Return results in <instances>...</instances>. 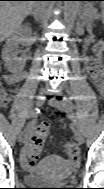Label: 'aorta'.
<instances>
[{
    "label": "aorta",
    "instance_id": "aorta-1",
    "mask_svg": "<svg viewBox=\"0 0 104 189\" xmlns=\"http://www.w3.org/2000/svg\"><path fill=\"white\" fill-rule=\"evenodd\" d=\"M79 6V1H64L63 15L65 23H70L74 20Z\"/></svg>",
    "mask_w": 104,
    "mask_h": 189
}]
</instances>
